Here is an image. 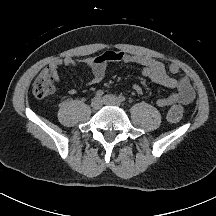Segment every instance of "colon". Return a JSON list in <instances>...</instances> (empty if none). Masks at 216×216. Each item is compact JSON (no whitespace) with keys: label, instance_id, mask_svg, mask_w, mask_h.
<instances>
[{"label":"colon","instance_id":"colon-1","mask_svg":"<svg viewBox=\"0 0 216 216\" xmlns=\"http://www.w3.org/2000/svg\"><path fill=\"white\" fill-rule=\"evenodd\" d=\"M54 91V76L51 72H41L33 82L32 93L38 99L45 98ZM184 116V109L180 104L173 105L167 112V120L178 123Z\"/></svg>","mask_w":216,"mask_h":216}]
</instances>
